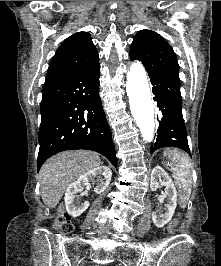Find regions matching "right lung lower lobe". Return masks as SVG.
Here are the masks:
<instances>
[{"instance_id":"1","label":"right lung lower lobe","mask_w":221,"mask_h":266,"mask_svg":"<svg viewBox=\"0 0 221 266\" xmlns=\"http://www.w3.org/2000/svg\"><path fill=\"white\" fill-rule=\"evenodd\" d=\"M100 64L43 87L38 170L58 152L88 149L116 167L111 130L99 96Z\"/></svg>"}]
</instances>
